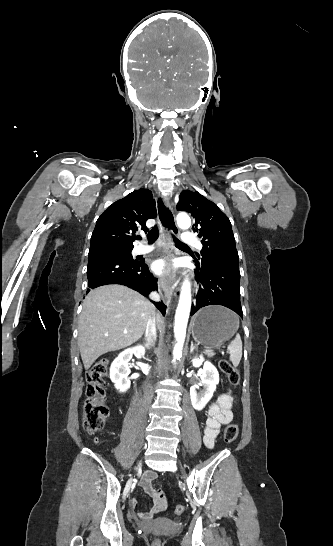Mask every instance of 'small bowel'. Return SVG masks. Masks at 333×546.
Here are the masks:
<instances>
[{"mask_svg":"<svg viewBox=\"0 0 333 546\" xmlns=\"http://www.w3.org/2000/svg\"><path fill=\"white\" fill-rule=\"evenodd\" d=\"M232 395L230 390L222 393L208 408V418L204 429L203 441L207 448H212L215 439L220 432L221 426L229 424L233 421L234 414L232 411ZM157 473L153 470L146 472L141 480V486L151 498V506L147 512L138 513L137 516L142 520L148 521L154 515L161 512L166 507V498L164 492L154 485ZM131 508L134 509L137 505V500H131Z\"/></svg>","mask_w":333,"mask_h":546,"instance_id":"small-bowel-1","label":"small bowel"}]
</instances>
